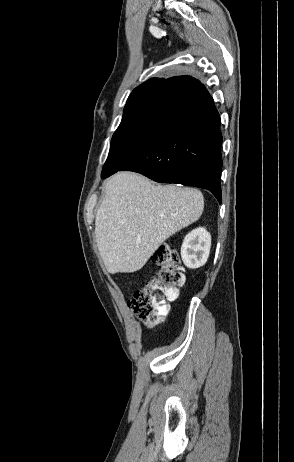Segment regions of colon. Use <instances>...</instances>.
<instances>
[{
  "instance_id": "5ec220e1",
  "label": "colon",
  "mask_w": 294,
  "mask_h": 462,
  "mask_svg": "<svg viewBox=\"0 0 294 462\" xmlns=\"http://www.w3.org/2000/svg\"><path fill=\"white\" fill-rule=\"evenodd\" d=\"M154 274L129 300L134 317L144 324H157L168 312L167 301L178 297L185 281L178 254L168 246L158 247L153 256Z\"/></svg>"
}]
</instances>
